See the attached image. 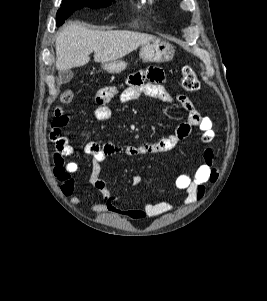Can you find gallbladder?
Segmentation results:
<instances>
[{"instance_id": "obj_1", "label": "gallbladder", "mask_w": 267, "mask_h": 301, "mask_svg": "<svg viewBox=\"0 0 267 301\" xmlns=\"http://www.w3.org/2000/svg\"><path fill=\"white\" fill-rule=\"evenodd\" d=\"M73 78L71 70H62L58 72L57 82L59 84H66Z\"/></svg>"}]
</instances>
